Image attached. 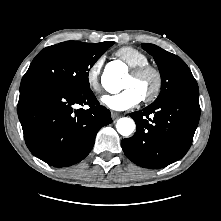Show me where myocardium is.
Returning a JSON list of instances; mask_svg holds the SVG:
<instances>
[{
	"label": "myocardium",
	"mask_w": 221,
	"mask_h": 221,
	"mask_svg": "<svg viewBox=\"0 0 221 221\" xmlns=\"http://www.w3.org/2000/svg\"><path fill=\"white\" fill-rule=\"evenodd\" d=\"M130 74L134 77H142L146 74H151L154 78V85L152 90L142 97V100L146 103L153 102L158 98L163 87V75L161 70L152 64H143L140 66L132 67Z\"/></svg>",
	"instance_id": "myocardium-1"
}]
</instances>
